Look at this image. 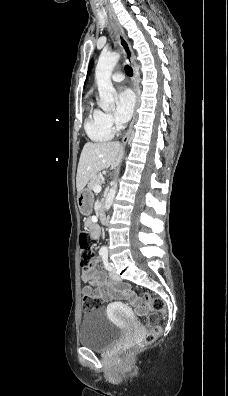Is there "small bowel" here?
<instances>
[{
    "mask_svg": "<svg viewBox=\"0 0 228 396\" xmlns=\"http://www.w3.org/2000/svg\"><path fill=\"white\" fill-rule=\"evenodd\" d=\"M85 227L90 231L93 239L98 238L99 229L92 219L86 221ZM82 280L85 282L82 289L84 294H93L105 302L117 300L116 304L118 306L129 310L128 306L120 301L121 299H125L135 308L137 314L145 312L139 298L129 286L126 284H117L108 279L104 274L98 271L96 261L92 263L89 270L82 273ZM93 286H95L94 289Z\"/></svg>",
    "mask_w": 228,
    "mask_h": 396,
    "instance_id": "obj_1",
    "label": "small bowel"
}]
</instances>
